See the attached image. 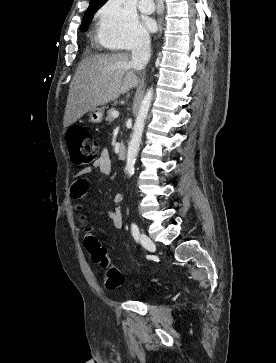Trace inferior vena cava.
<instances>
[{
  "label": "inferior vena cava",
  "instance_id": "602c4592",
  "mask_svg": "<svg viewBox=\"0 0 276 363\" xmlns=\"http://www.w3.org/2000/svg\"><path fill=\"white\" fill-rule=\"evenodd\" d=\"M151 57L150 36L140 34L134 42L131 56V66L136 70H142Z\"/></svg>",
  "mask_w": 276,
  "mask_h": 363
}]
</instances>
